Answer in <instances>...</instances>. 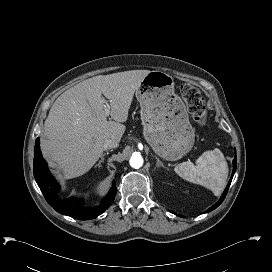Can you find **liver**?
Wrapping results in <instances>:
<instances>
[{
    "label": "liver",
    "mask_w": 272,
    "mask_h": 272,
    "mask_svg": "<svg viewBox=\"0 0 272 272\" xmlns=\"http://www.w3.org/2000/svg\"><path fill=\"white\" fill-rule=\"evenodd\" d=\"M149 70L99 75L62 93L52 105L41 140L43 156L66 179L88 172L103 153L107 139L120 142L134 92ZM109 100L107 121L104 99Z\"/></svg>",
    "instance_id": "liver-1"
}]
</instances>
